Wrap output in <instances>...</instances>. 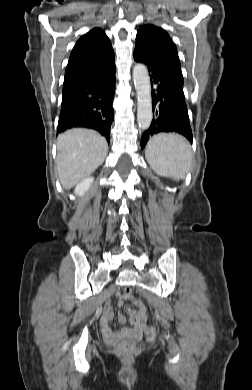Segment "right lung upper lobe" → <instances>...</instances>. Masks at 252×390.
Here are the masks:
<instances>
[{"label":"right lung upper lobe","mask_w":252,"mask_h":390,"mask_svg":"<svg viewBox=\"0 0 252 390\" xmlns=\"http://www.w3.org/2000/svg\"><path fill=\"white\" fill-rule=\"evenodd\" d=\"M113 66L114 51L109 38L100 28L92 29L80 37L70 54L62 92L106 75Z\"/></svg>","instance_id":"cb5924a9"}]
</instances>
